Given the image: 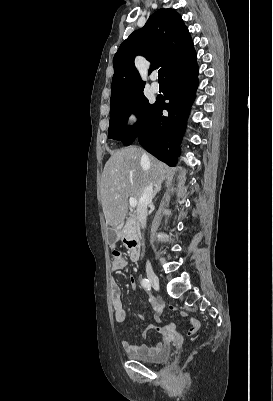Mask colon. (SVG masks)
Masks as SVG:
<instances>
[{
    "mask_svg": "<svg viewBox=\"0 0 273 401\" xmlns=\"http://www.w3.org/2000/svg\"><path fill=\"white\" fill-rule=\"evenodd\" d=\"M183 355L185 358H194L196 355V352L194 349H185L183 352Z\"/></svg>",
    "mask_w": 273,
    "mask_h": 401,
    "instance_id": "colon-1",
    "label": "colon"
}]
</instances>
